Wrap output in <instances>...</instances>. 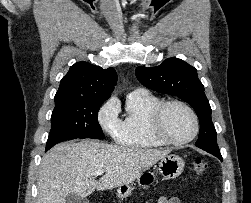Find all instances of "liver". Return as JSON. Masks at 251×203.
<instances>
[{
    "label": "liver",
    "instance_id": "6515ba94",
    "mask_svg": "<svg viewBox=\"0 0 251 203\" xmlns=\"http://www.w3.org/2000/svg\"><path fill=\"white\" fill-rule=\"evenodd\" d=\"M170 152L95 140L58 144L42 158L37 203H66L71 193L85 198L95 190L128 185ZM97 170L105 172L98 181L92 175Z\"/></svg>",
    "mask_w": 251,
    "mask_h": 203
}]
</instances>
